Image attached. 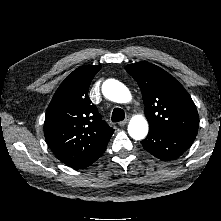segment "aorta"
<instances>
[{
  "label": "aorta",
  "instance_id": "1",
  "mask_svg": "<svg viewBox=\"0 0 221 221\" xmlns=\"http://www.w3.org/2000/svg\"><path fill=\"white\" fill-rule=\"evenodd\" d=\"M103 95L116 103H127L131 100L129 89L121 82L109 79L102 85ZM148 122L143 115L134 116L128 125V133L135 140H142L148 133Z\"/></svg>",
  "mask_w": 221,
  "mask_h": 221
}]
</instances>
